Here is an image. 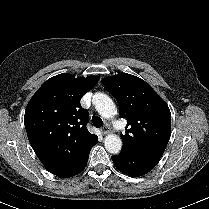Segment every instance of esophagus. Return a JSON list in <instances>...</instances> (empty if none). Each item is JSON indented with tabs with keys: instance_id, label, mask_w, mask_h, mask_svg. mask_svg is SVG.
<instances>
[{
	"instance_id": "34e87169",
	"label": "esophagus",
	"mask_w": 209,
	"mask_h": 209,
	"mask_svg": "<svg viewBox=\"0 0 209 209\" xmlns=\"http://www.w3.org/2000/svg\"><path fill=\"white\" fill-rule=\"evenodd\" d=\"M101 132H102V134H108V132H109V129L105 126V127H103L102 129H101Z\"/></svg>"
}]
</instances>
